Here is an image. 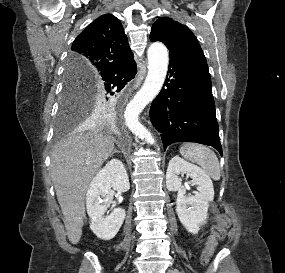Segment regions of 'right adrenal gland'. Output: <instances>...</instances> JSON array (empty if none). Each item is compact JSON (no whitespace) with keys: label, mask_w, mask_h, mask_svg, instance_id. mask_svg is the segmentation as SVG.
Instances as JSON below:
<instances>
[{"label":"right adrenal gland","mask_w":285,"mask_h":273,"mask_svg":"<svg viewBox=\"0 0 285 273\" xmlns=\"http://www.w3.org/2000/svg\"><path fill=\"white\" fill-rule=\"evenodd\" d=\"M114 153H120V152L115 149V150L112 152L111 156H113Z\"/></svg>","instance_id":"obj_1"}]
</instances>
